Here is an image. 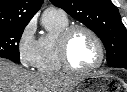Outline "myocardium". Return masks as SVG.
<instances>
[{
  "label": "myocardium",
  "mask_w": 127,
  "mask_h": 92,
  "mask_svg": "<svg viewBox=\"0 0 127 92\" xmlns=\"http://www.w3.org/2000/svg\"><path fill=\"white\" fill-rule=\"evenodd\" d=\"M79 31H84L88 33L95 41L99 51L98 61L93 66L85 69L76 68L72 64L69 56V48H70L71 40L73 36ZM58 52H59V59L62 67L66 71L75 74H86L92 72L100 68L105 60V48L101 38L92 28L86 25H70L69 27H67L60 36L59 43H58Z\"/></svg>",
  "instance_id": "f54148a6"
}]
</instances>
